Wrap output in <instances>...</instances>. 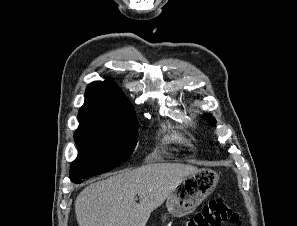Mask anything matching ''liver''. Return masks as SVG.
Masks as SVG:
<instances>
[{
  "label": "liver",
  "mask_w": 297,
  "mask_h": 226,
  "mask_svg": "<svg viewBox=\"0 0 297 226\" xmlns=\"http://www.w3.org/2000/svg\"><path fill=\"white\" fill-rule=\"evenodd\" d=\"M197 171L191 165L151 163L91 183L75 201L78 225L145 226L176 185Z\"/></svg>",
  "instance_id": "obj_1"
}]
</instances>
